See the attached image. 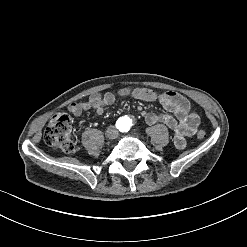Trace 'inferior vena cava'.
Returning <instances> with one entry per match:
<instances>
[{
    "label": "inferior vena cava",
    "instance_id": "inferior-vena-cava-1",
    "mask_svg": "<svg viewBox=\"0 0 247 247\" xmlns=\"http://www.w3.org/2000/svg\"><path fill=\"white\" fill-rule=\"evenodd\" d=\"M112 132H113V137H117L118 136V130L114 127V126H110Z\"/></svg>",
    "mask_w": 247,
    "mask_h": 247
}]
</instances>
